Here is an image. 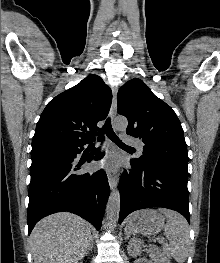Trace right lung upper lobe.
<instances>
[{
  "mask_svg": "<svg viewBox=\"0 0 220 263\" xmlns=\"http://www.w3.org/2000/svg\"><path fill=\"white\" fill-rule=\"evenodd\" d=\"M111 89L97 75L53 98L37 123L32 150L64 148L87 144L99 130L97 122L107 116Z\"/></svg>",
  "mask_w": 220,
  "mask_h": 263,
  "instance_id": "1",
  "label": "right lung upper lobe"
}]
</instances>
